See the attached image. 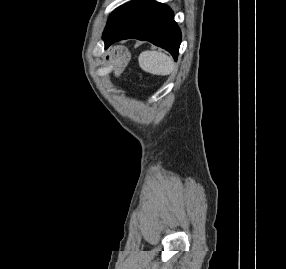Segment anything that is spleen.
<instances>
[{"mask_svg":"<svg viewBox=\"0 0 286 269\" xmlns=\"http://www.w3.org/2000/svg\"><path fill=\"white\" fill-rule=\"evenodd\" d=\"M140 67L154 75H168L174 70L172 58L158 51H144L139 56Z\"/></svg>","mask_w":286,"mask_h":269,"instance_id":"spleen-1","label":"spleen"}]
</instances>
